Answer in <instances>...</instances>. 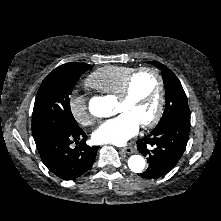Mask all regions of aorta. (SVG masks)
Masks as SVG:
<instances>
[{
	"instance_id": "1",
	"label": "aorta",
	"mask_w": 221,
	"mask_h": 221,
	"mask_svg": "<svg viewBox=\"0 0 221 221\" xmlns=\"http://www.w3.org/2000/svg\"><path fill=\"white\" fill-rule=\"evenodd\" d=\"M89 111L94 117H108L112 114L111 105L105 98H94L89 105ZM146 165L145 159L140 155H132L128 160V166L131 171L140 173Z\"/></svg>"
}]
</instances>
